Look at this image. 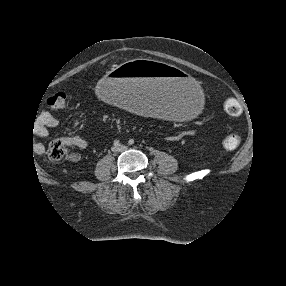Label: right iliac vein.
Instances as JSON below:
<instances>
[{
  "label": "right iliac vein",
  "instance_id": "1",
  "mask_svg": "<svg viewBox=\"0 0 286 286\" xmlns=\"http://www.w3.org/2000/svg\"><path fill=\"white\" fill-rule=\"evenodd\" d=\"M112 151L115 152V153H117V152H119L120 150H119L118 147H113V148H112Z\"/></svg>",
  "mask_w": 286,
  "mask_h": 286
}]
</instances>
